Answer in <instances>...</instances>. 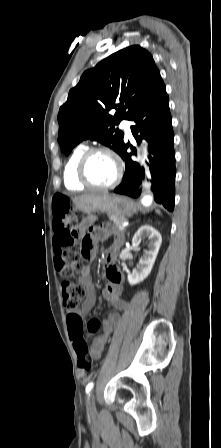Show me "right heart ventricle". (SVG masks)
<instances>
[{"mask_svg": "<svg viewBox=\"0 0 221 448\" xmlns=\"http://www.w3.org/2000/svg\"><path fill=\"white\" fill-rule=\"evenodd\" d=\"M88 150V147L85 145H80L76 147L71 155L69 156L65 167H64V185L67 189L70 190H82L85 188L76 177V167L80 157L83 155L85 151Z\"/></svg>", "mask_w": 221, "mask_h": 448, "instance_id": "e07e8e85", "label": "right heart ventricle"}]
</instances>
